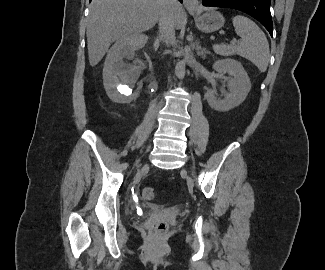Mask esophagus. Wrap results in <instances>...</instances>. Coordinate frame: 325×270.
Masks as SVG:
<instances>
[{
    "mask_svg": "<svg viewBox=\"0 0 325 270\" xmlns=\"http://www.w3.org/2000/svg\"><path fill=\"white\" fill-rule=\"evenodd\" d=\"M184 6L188 11H192L198 8L199 1L198 0H183Z\"/></svg>",
    "mask_w": 325,
    "mask_h": 270,
    "instance_id": "obj_1",
    "label": "esophagus"
}]
</instances>
